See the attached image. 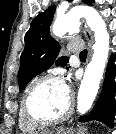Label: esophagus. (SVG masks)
<instances>
[{
  "instance_id": "obj_1",
  "label": "esophagus",
  "mask_w": 116,
  "mask_h": 134,
  "mask_svg": "<svg viewBox=\"0 0 116 134\" xmlns=\"http://www.w3.org/2000/svg\"><path fill=\"white\" fill-rule=\"evenodd\" d=\"M83 33H84L86 39L88 40L89 57H90L92 54L93 36H92L91 32L89 31V29L87 28V26L84 27Z\"/></svg>"
}]
</instances>
